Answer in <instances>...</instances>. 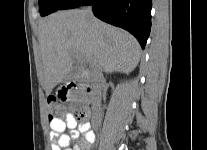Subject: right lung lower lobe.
<instances>
[{
  "instance_id": "1",
  "label": "right lung lower lobe",
  "mask_w": 207,
  "mask_h": 150,
  "mask_svg": "<svg viewBox=\"0 0 207 150\" xmlns=\"http://www.w3.org/2000/svg\"><path fill=\"white\" fill-rule=\"evenodd\" d=\"M92 5L94 15L133 34L144 49L151 28L152 0H67L59 10Z\"/></svg>"
}]
</instances>
